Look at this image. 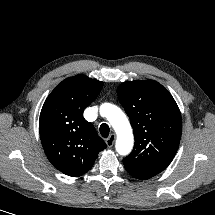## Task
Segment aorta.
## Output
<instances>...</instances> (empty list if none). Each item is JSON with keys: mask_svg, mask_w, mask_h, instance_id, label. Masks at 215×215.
I'll return each instance as SVG.
<instances>
[{"mask_svg": "<svg viewBox=\"0 0 215 215\" xmlns=\"http://www.w3.org/2000/svg\"><path fill=\"white\" fill-rule=\"evenodd\" d=\"M100 114L105 116L117 134L116 150L121 155H127L133 148L134 138L131 125L123 111L110 103L100 106Z\"/></svg>", "mask_w": 215, "mask_h": 215, "instance_id": "1", "label": "aorta"}]
</instances>
